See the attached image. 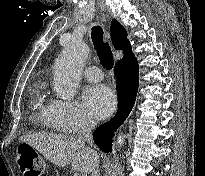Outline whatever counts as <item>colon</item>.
Listing matches in <instances>:
<instances>
[{"mask_svg": "<svg viewBox=\"0 0 205 176\" xmlns=\"http://www.w3.org/2000/svg\"><path fill=\"white\" fill-rule=\"evenodd\" d=\"M16 162L24 176H41L44 169V161L37 152L18 148L15 151Z\"/></svg>", "mask_w": 205, "mask_h": 176, "instance_id": "colon-1", "label": "colon"}]
</instances>
